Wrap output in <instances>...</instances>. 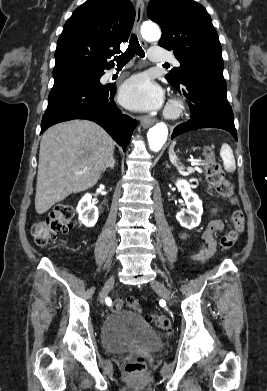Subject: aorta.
I'll return each mask as SVG.
<instances>
[{"label": "aorta", "mask_w": 267, "mask_h": 391, "mask_svg": "<svg viewBox=\"0 0 267 391\" xmlns=\"http://www.w3.org/2000/svg\"><path fill=\"white\" fill-rule=\"evenodd\" d=\"M141 34L148 41H158L161 32L158 26L152 22H145L141 27ZM168 128L164 123H157L148 134V144L152 151L158 152L167 140Z\"/></svg>", "instance_id": "762f6f07"}]
</instances>
